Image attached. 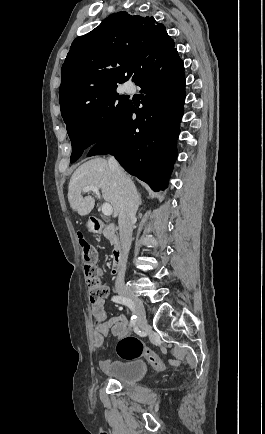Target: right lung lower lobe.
I'll list each match as a JSON object with an SVG mask.
<instances>
[{"label": "right lung lower lobe", "mask_w": 265, "mask_h": 434, "mask_svg": "<svg viewBox=\"0 0 265 434\" xmlns=\"http://www.w3.org/2000/svg\"><path fill=\"white\" fill-rule=\"evenodd\" d=\"M134 82L141 87L143 107L137 109L139 105L131 101L121 122L87 156L112 154L154 191L164 190L177 157L185 101L184 65L177 49L148 64Z\"/></svg>", "instance_id": "obj_1"}]
</instances>
